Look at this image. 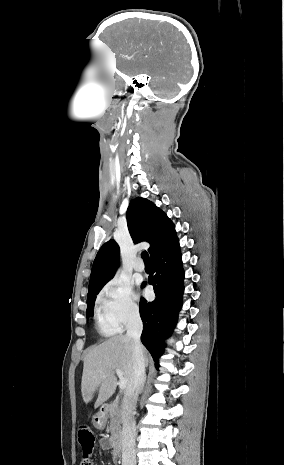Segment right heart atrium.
I'll use <instances>...</instances> for the list:
<instances>
[{"instance_id": "obj_1", "label": "right heart atrium", "mask_w": 284, "mask_h": 465, "mask_svg": "<svg viewBox=\"0 0 284 465\" xmlns=\"http://www.w3.org/2000/svg\"><path fill=\"white\" fill-rule=\"evenodd\" d=\"M96 303L118 330L128 328L141 316V309L133 298L131 288L118 279H113L103 286Z\"/></svg>"}]
</instances>
